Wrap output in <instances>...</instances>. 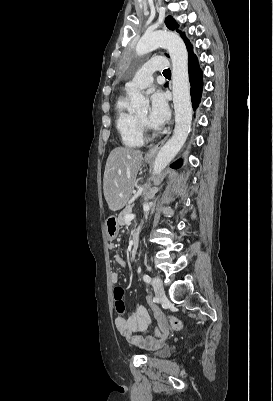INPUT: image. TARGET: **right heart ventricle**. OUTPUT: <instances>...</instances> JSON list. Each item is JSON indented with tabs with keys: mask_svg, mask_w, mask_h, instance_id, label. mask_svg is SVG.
<instances>
[{
	"mask_svg": "<svg viewBox=\"0 0 273 401\" xmlns=\"http://www.w3.org/2000/svg\"><path fill=\"white\" fill-rule=\"evenodd\" d=\"M128 103L127 95H121L116 99L114 105L115 126L125 146L141 147L144 142L143 132L136 115L128 110Z\"/></svg>",
	"mask_w": 273,
	"mask_h": 401,
	"instance_id": "obj_1",
	"label": "right heart ventricle"
}]
</instances>
